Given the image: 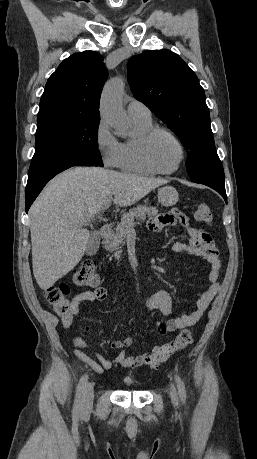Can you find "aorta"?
<instances>
[{
    "mask_svg": "<svg viewBox=\"0 0 257 459\" xmlns=\"http://www.w3.org/2000/svg\"><path fill=\"white\" fill-rule=\"evenodd\" d=\"M123 90L124 81L121 78L108 81L103 89L100 102L102 120L112 127L118 136L130 134V121L121 104Z\"/></svg>",
    "mask_w": 257,
    "mask_h": 459,
    "instance_id": "obj_1",
    "label": "aorta"
}]
</instances>
